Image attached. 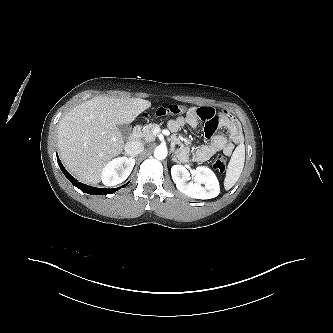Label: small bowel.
<instances>
[{"label": "small bowel", "mask_w": 333, "mask_h": 333, "mask_svg": "<svg viewBox=\"0 0 333 333\" xmlns=\"http://www.w3.org/2000/svg\"><path fill=\"white\" fill-rule=\"evenodd\" d=\"M200 120L205 122L204 135L208 143L191 150L183 146L179 138H175L173 146L180 152L182 158L187 159L192 156L194 160L204 162L218 152L230 156L234 148L243 142V134L237 120L227 113H218L208 106L191 107L185 116L169 120L168 127L172 132H177L184 125L197 127ZM218 128L226 129L228 135L215 134Z\"/></svg>", "instance_id": "small-bowel-1"}]
</instances>
